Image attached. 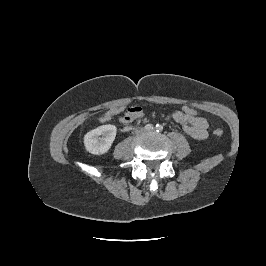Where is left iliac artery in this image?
I'll return each mask as SVG.
<instances>
[{
  "instance_id": "left-iliac-artery-1",
  "label": "left iliac artery",
  "mask_w": 266,
  "mask_h": 266,
  "mask_svg": "<svg viewBox=\"0 0 266 266\" xmlns=\"http://www.w3.org/2000/svg\"><path fill=\"white\" fill-rule=\"evenodd\" d=\"M155 128L157 132H161L163 130V126L160 124H157Z\"/></svg>"
}]
</instances>
